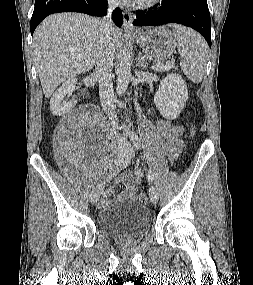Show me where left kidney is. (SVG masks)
I'll use <instances>...</instances> for the list:
<instances>
[{
	"label": "left kidney",
	"mask_w": 253,
	"mask_h": 285,
	"mask_svg": "<svg viewBox=\"0 0 253 285\" xmlns=\"http://www.w3.org/2000/svg\"><path fill=\"white\" fill-rule=\"evenodd\" d=\"M188 99V89L179 74L171 73L159 85L154 96V103L161 115L166 119H176Z\"/></svg>",
	"instance_id": "left-kidney-1"
}]
</instances>
